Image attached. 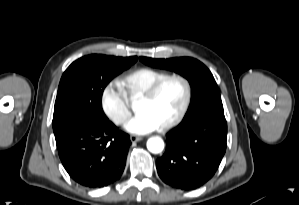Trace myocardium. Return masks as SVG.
Instances as JSON below:
<instances>
[{
    "label": "myocardium",
    "instance_id": "f54148a6",
    "mask_svg": "<svg viewBox=\"0 0 299 205\" xmlns=\"http://www.w3.org/2000/svg\"><path fill=\"white\" fill-rule=\"evenodd\" d=\"M171 80H178L183 84L184 90H185L184 100H183V103H182L178 113L171 120H169L168 122H166L165 124L160 126L161 130H168V129L175 127L185 117V115L190 107L191 100H192V85H191L190 81L185 76H183L181 74H168L165 77L156 81L145 92H143L139 97V101H143V102L151 101L152 99H154L157 96V94L164 87V85Z\"/></svg>",
    "mask_w": 299,
    "mask_h": 205
}]
</instances>
